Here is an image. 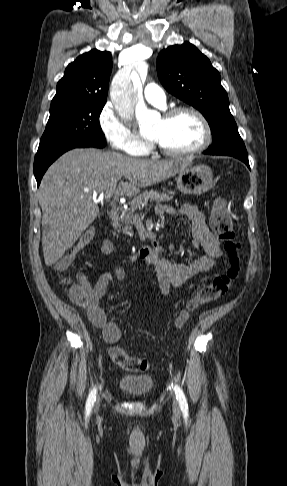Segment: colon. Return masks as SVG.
Wrapping results in <instances>:
<instances>
[{
  "label": "colon",
  "instance_id": "colon-1",
  "mask_svg": "<svg viewBox=\"0 0 287 486\" xmlns=\"http://www.w3.org/2000/svg\"><path fill=\"white\" fill-rule=\"evenodd\" d=\"M211 227L214 233L223 241L226 252L228 266L224 273L216 275L212 281L204 285L191 299L186 307L180 311L176 326L182 327L191 312L198 307L210 304L224 295L239 277L241 272V245L236 239L231 216L223 199L215 200L211 212ZM93 238L91 231L86 232L79 241V246L88 244ZM73 260V254L62 257L56 264L55 269L63 272L68 269ZM70 299L81 306L88 302V295L81 283L73 284L67 289ZM112 361L120 368L131 372H144L149 370L151 364L147 359L130 356L122 347L115 346L110 349Z\"/></svg>",
  "mask_w": 287,
  "mask_h": 486
}]
</instances>
